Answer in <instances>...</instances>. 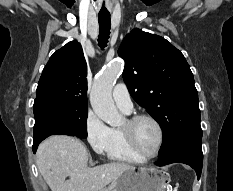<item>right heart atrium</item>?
Returning <instances> with one entry per match:
<instances>
[{
	"instance_id": "obj_1",
	"label": "right heart atrium",
	"mask_w": 233,
	"mask_h": 191,
	"mask_svg": "<svg viewBox=\"0 0 233 191\" xmlns=\"http://www.w3.org/2000/svg\"><path fill=\"white\" fill-rule=\"evenodd\" d=\"M86 139L99 155L105 154L111 144V128L96 114L89 112L85 121Z\"/></svg>"
}]
</instances>
